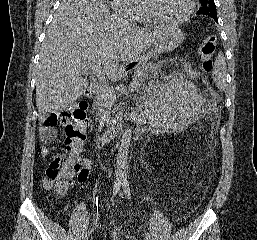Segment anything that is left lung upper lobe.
<instances>
[{
  "label": "left lung upper lobe",
  "instance_id": "1",
  "mask_svg": "<svg viewBox=\"0 0 257 240\" xmlns=\"http://www.w3.org/2000/svg\"><path fill=\"white\" fill-rule=\"evenodd\" d=\"M201 8L197 12L198 14L208 15L218 22L216 6L214 0H200Z\"/></svg>",
  "mask_w": 257,
  "mask_h": 240
}]
</instances>
